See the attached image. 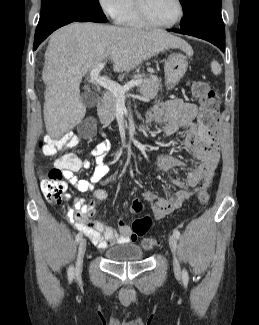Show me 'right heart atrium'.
<instances>
[{
	"instance_id": "obj_1",
	"label": "right heart atrium",
	"mask_w": 259,
	"mask_h": 325,
	"mask_svg": "<svg viewBox=\"0 0 259 325\" xmlns=\"http://www.w3.org/2000/svg\"><path fill=\"white\" fill-rule=\"evenodd\" d=\"M132 0H98L101 10L110 18L118 20L129 8Z\"/></svg>"
}]
</instances>
